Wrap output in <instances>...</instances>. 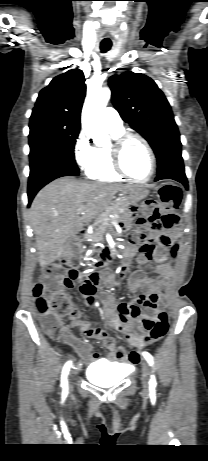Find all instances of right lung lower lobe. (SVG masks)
<instances>
[{
    "mask_svg": "<svg viewBox=\"0 0 208 461\" xmlns=\"http://www.w3.org/2000/svg\"><path fill=\"white\" fill-rule=\"evenodd\" d=\"M79 172L68 168L65 165H47L35 173L30 174L28 181V207L36 193L52 180L63 176H78Z\"/></svg>",
    "mask_w": 208,
    "mask_h": 461,
    "instance_id": "obj_1",
    "label": "right lung lower lobe"
}]
</instances>
